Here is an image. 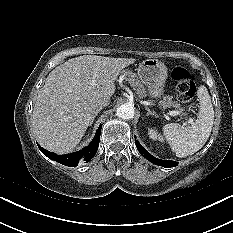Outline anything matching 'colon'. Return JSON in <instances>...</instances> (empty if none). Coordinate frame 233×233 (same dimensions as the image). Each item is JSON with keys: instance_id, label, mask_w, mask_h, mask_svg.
Returning a JSON list of instances; mask_svg holds the SVG:
<instances>
[{"instance_id": "obj_1", "label": "colon", "mask_w": 233, "mask_h": 233, "mask_svg": "<svg viewBox=\"0 0 233 233\" xmlns=\"http://www.w3.org/2000/svg\"><path fill=\"white\" fill-rule=\"evenodd\" d=\"M172 79L179 101L182 103L190 102L196 92L194 76L187 69L177 67L172 71Z\"/></svg>"}]
</instances>
